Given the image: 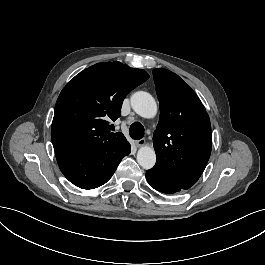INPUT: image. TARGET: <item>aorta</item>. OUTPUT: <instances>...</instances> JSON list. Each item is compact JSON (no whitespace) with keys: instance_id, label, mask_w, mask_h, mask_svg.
Masks as SVG:
<instances>
[{"instance_id":"1","label":"aorta","mask_w":265,"mask_h":265,"mask_svg":"<svg viewBox=\"0 0 265 265\" xmlns=\"http://www.w3.org/2000/svg\"><path fill=\"white\" fill-rule=\"evenodd\" d=\"M133 110L144 119H154L158 113L157 103L148 92L139 91L132 95ZM137 162L144 168L150 169L155 165L156 153L150 145H142L137 151Z\"/></svg>"}]
</instances>
